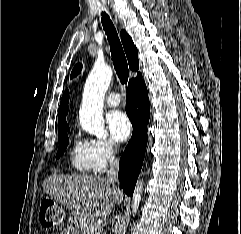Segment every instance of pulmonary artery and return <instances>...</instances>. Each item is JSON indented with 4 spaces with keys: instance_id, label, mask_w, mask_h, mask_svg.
<instances>
[{
    "instance_id": "pulmonary-artery-1",
    "label": "pulmonary artery",
    "mask_w": 241,
    "mask_h": 234,
    "mask_svg": "<svg viewBox=\"0 0 241 234\" xmlns=\"http://www.w3.org/2000/svg\"><path fill=\"white\" fill-rule=\"evenodd\" d=\"M120 95L118 93H111L108 95V97L106 98V104L109 107H116L120 104Z\"/></svg>"
}]
</instances>
